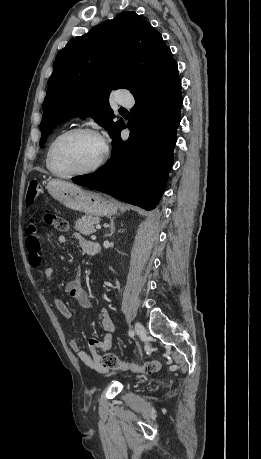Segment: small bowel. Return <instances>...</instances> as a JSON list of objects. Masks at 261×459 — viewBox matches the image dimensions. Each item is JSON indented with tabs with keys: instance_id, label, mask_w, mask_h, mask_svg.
Segmentation results:
<instances>
[{
	"instance_id": "small-bowel-1",
	"label": "small bowel",
	"mask_w": 261,
	"mask_h": 459,
	"mask_svg": "<svg viewBox=\"0 0 261 459\" xmlns=\"http://www.w3.org/2000/svg\"><path fill=\"white\" fill-rule=\"evenodd\" d=\"M73 237L78 241L82 253L92 255V244L93 242L83 239L79 234H74ZM55 241L58 244H64L66 237L63 234H59L55 237ZM26 248L28 251L29 264L32 267L40 265L42 260L41 243L37 234L33 238H26ZM54 273L53 266H49L45 270V279L50 282ZM66 293L72 297L77 303L85 309H90L92 301L88 294L83 290L81 286V269L78 267L75 271L73 279H71L65 286ZM53 302L56 310L65 318H71L72 312L65 302L59 297L54 296ZM100 322L104 334L101 338H92L89 340L90 354L85 350H82L78 339L70 341L71 349L77 354L78 358L90 368L95 370H102L103 366L101 363L102 356L100 351H108L113 345V332L115 330L114 323L110 317L109 312L106 309L100 311Z\"/></svg>"
}]
</instances>
